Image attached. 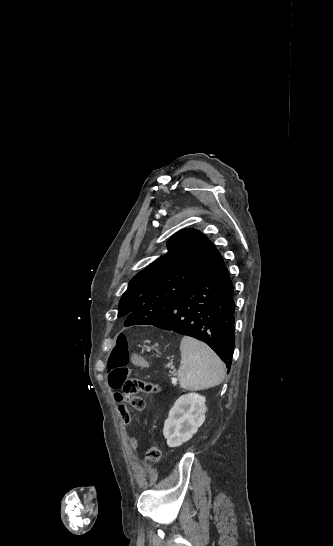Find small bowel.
I'll return each mask as SVG.
<instances>
[{
  "instance_id": "1",
  "label": "small bowel",
  "mask_w": 333,
  "mask_h": 546,
  "mask_svg": "<svg viewBox=\"0 0 333 546\" xmlns=\"http://www.w3.org/2000/svg\"><path fill=\"white\" fill-rule=\"evenodd\" d=\"M130 363L134 365L135 370L137 372H146L148 370V362L145 358V356L142 354L141 351L135 350L133 354L130 356ZM114 397L116 401L119 403L118 408L119 412L121 413L123 425L125 427L131 426V420L132 417L129 415V408L125 407L126 399L122 398L120 393H115ZM130 445L133 449L137 448V441L134 438L130 439Z\"/></svg>"
}]
</instances>
